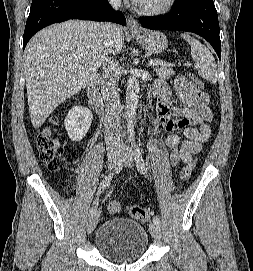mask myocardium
Masks as SVG:
<instances>
[{
    "mask_svg": "<svg viewBox=\"0 0 253 271\" xmlns=\"http://www.w3.org/2000/svg\"><path fill=\"white\" fill-rule=\"evenodd\" d=\"M176 0H164L163 3L157 6L143 7L137 5L139 13L147 16H160L168 13L174 7Z\"/></svg>",
    "mask_w": 253,
    "mask_h": 271,
    "instance_id": "myocardium-1",
    "label": "myocardium"
}]
</instances>
